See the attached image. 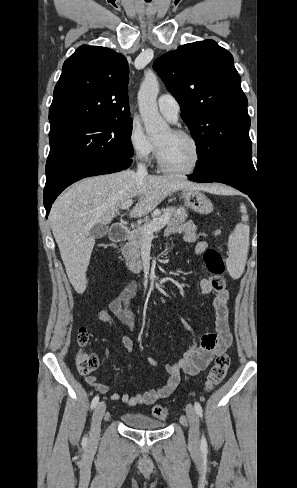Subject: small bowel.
<instances>
[{
    "mask_svg": "<svg viewBox=\"0 0 297 488\" xmlns=\"http://www.w3.org/2000/svg\"><path fill=\"white\" fill-rule=\"evenodd\" d=\"M181 234L187 243H195V253L203 254L207 251L208 245L200 239L193 222L188 221L179 226H169L166 229V236ZM200 289L203 294L214 293L212 299V308L215 315V331L203 335L199 346H192L185 351L179 360L165 362L166 380L162 386L147 391H140L135 396L129 394L113 393L110 396L112 401L120 400L123 403L133 406L138 404L150 405L158 400L164 399L171 395L179 384L181 374L190 376L196 375L206 369L212 359L222 353L231 343V334L229 331L228 318L229 294L226 290L216 291L210 279L202 278L200 280ZM137 285L134 281L128 282L120 293L109 303L108 310L98 313V319L102 322L113 323L118 320L128 331L133 330L135 326V316L131 309V300L136 295ZM185 324V321L182 320ZM187 326V324H186ZM188 329H190L188 327ZM122 343L126 351L131 354L134 349V343L128 334L122 335ZM147 362L152 366L160 365V361L154 357H147ZM86 382L97 392L104 394L109 390L106 383L97 382L96 375H90L85 378Z\"/></svg>",
    "mask_w": 297,
    "mask_h": 488,
    "instance_id": "1",
    "label": "small bowel"
}]
</instances>
